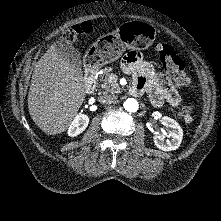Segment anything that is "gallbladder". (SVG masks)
<instances>
[{"instance_id": "obj_1", "label": "gallbladder", "mask_w": 221, "mask_h": 221, "mask_svg": "<svg viewBox=\"0 0 221 221\" xmlns=\"http://www.w3.org/2000/svg\"><path fill=\"white\" fill-rule=\"evenodd\" d=\"M55 50L59 56L68 60L70 63L76 66H81V54L72 45H69L63 41H56L54 43Z\"/></svg>"}]
</instances>
